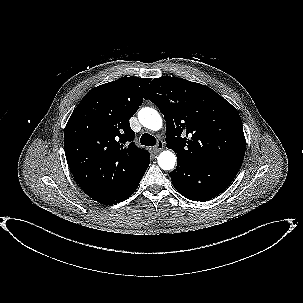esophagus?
<instances>
[{
	"mask_svg": "<svg viewBox=\"0 0 303 303\" xmlns=\"http://www.w3.org/2000/svg\"><path fill=\"white\" fill-rule=\"evenodd\" d=\"M164 148L163 142L162 141H158L156 146L153 148V151L155 153L160 152L162 149Z\"/></svg>",
	"mask_w": 303,
	"mask_h": 303,
	"instance_id": "obj_1",
	"label": "esophagus"
}]
</instances>
